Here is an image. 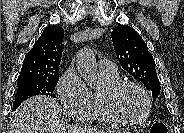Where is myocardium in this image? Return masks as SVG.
Wrapping results in <instances>:
<instances>
[{
    "mask_svg": "<svg viewBox=\"0 0 184 133\" xmlns=\"http://www.w3.org/2000/svg\"><path fill=\"white\" fill-rule=\"evenodd\" d=\"M127 87H134L138 89L146 102V110L144 114L138 119H127L119 115L115 108V98L116 96L125 88ZM101 103L102 107L114 124H122L127 126H137L144 123L151 114L152 111V101L148 91L145 89L143 85L138 82L131 81V80H119L115 83L108 84L105 86L103 91L101 92Z\"/></svg>",
    "mask_w": 184,
    "mask_h": 133,
    "instance_id": "1",
    "label": "myocardium"
}]
</instances>
